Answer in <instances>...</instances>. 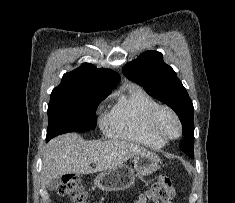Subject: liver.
Returning <instances> with one entry per match:
<instances>
[{"instance_id": "obj_1", "label": "liver", "mask_w": 235, "mask_h": 203, "mask_svg": "<svg viewBox=\"0 0 235 203\" xmlns=\"http://www.w3.org/2000/svg\"><path fill=\"white\" fill-rule=\"evenodd\" d=\"M142 151L146 149L121 140L85 141L76 133L61 135L52 139L45 148L43 181L48 185L65 174H91L111 170ZM91 163L96 168L93 169Z\"/></svg>"}]
</instances>
